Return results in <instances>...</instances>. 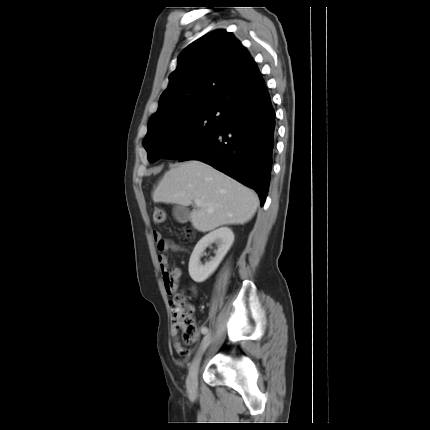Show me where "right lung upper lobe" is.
Instances as JSON below:
<instances>
[{"mask_svg": "<svg viewBox=\"0 0 430 430\" xmlns=\"http://www.w3.org/2000/svg\"><path fill=\"white\" fill-rule=\"evenodd\" d=\"M262 80L257 64L235 36L213 31L179 55L148 126L202 105L235 103L239 93Z\"/></svg>", "mask_w": 430, "mask_h": 430, "instance_id": "1", "label": "right lung upper lobe"}]
</instances>
